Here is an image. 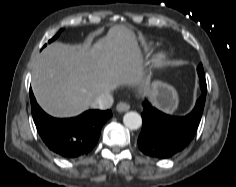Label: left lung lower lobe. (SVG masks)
<instances>
[{
  "label": "left lung lower lobe",
  "instance_id": "1",
  "mask_svg": "<svg viewBox=\"0 0 236 187\" xmlns=\"http://www.w3.org/2000/svg\"><path fill=\"white\" fill-rule=\"evenodd\" d=\"M201 87V86H200ZM194 109L186 116L164 114L143 102V125L138 138L139 149L147 156L169 158L183 150L193 139L200 123L207 89H202Z\"/></svg>",
  "mask_w": 236,
  "mask_h": 187
}]
</instances>
